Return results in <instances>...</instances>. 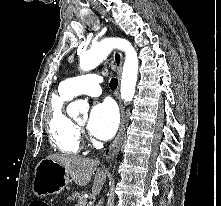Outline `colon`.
Returning <instances> with one entry per match:
<instances>
[{
	"label": "colon",
	"instance_id": "5ec220e1",
	"mask_svg": "<svg viewBox=\"0 0 221 206\" xmlns=\"http://www.w3.org/2000/svg\"><path fill=\"white\" fill-rule=\"evenodd\" d=\"M30 206H49L46 202L41 200L33 201Z\"/></svg>",
	"mask_w": 221,
	"mask_h": 206
}]
</instances>
